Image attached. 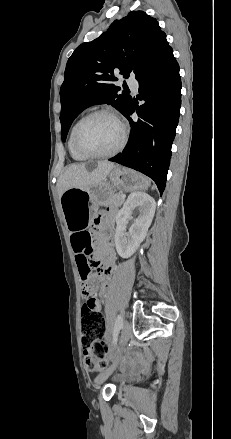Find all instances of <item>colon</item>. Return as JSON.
I'll list each match as a JSON object with an SVG mask.
<instances>
[{
  "instance_id": "5ec220e1",
  "label": "colon",
  "mask_w": 231,
  "mask_h": 439,
  "mask_svg": "<svg viewBox=\"0 0 231 439\" xmlns=\"http://www.w3.org/2000/svg\"><path fill=\"white\" fill-rule=\"evenodd\" d=\"M95 262L90 261L86 268L81 270V277L85 280L84 288L93 291L95 282L89 279L90 266ZM105 333V318L102 313L91 309L87 304L82 307L81 315V343L85 349H91L90 353L85 355V366L90 371L104 370L108 362L105 359L108 348L101 341Z\"/></svg>"
}]
</instances>
